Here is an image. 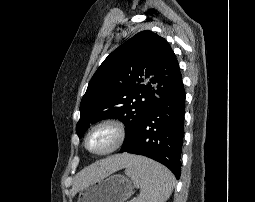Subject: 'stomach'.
Instances as JSON below:
<instances>
[{"label": "stomach", "instance_id": "0dacf381", "mask_svg": "<svg viewBox=\"0 0 255 202\" xmlns=\"http://www.w3.org/2000/svg\"><path fill=\"white\" fill-rule=\"evenodd\" d=\"M133 190L132 180L116 174L81 188L77 202H125L132 196Z\"/></svg>", "mask_w": 255, "mask_h": 202}]
</instances>
